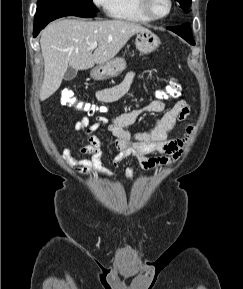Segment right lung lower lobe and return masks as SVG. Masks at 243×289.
<instances>
[{"mask_svg": "<svg viewBox=\"0 0 243 289\" xmlns=\"http://www.w3.org/2000/svg\"><path fill=\"white\" fill-rule=\"evenodd\" d=\"M78 16V17H94V13H75L70 11H51V12H39L37 11L34 18V30L33 36L36 37L38 33L51 21L64 17V16Z\"/></svg>", "mask_w": 243, "mask_h": 289, "instance_id": "1", "label": "right lung lower lobe"}]
</instances>
